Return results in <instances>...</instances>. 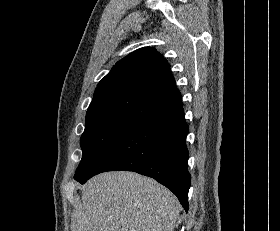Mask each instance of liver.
<instances>
[{
  "label": "liver",
  "mask_w": 280,
  "mask_h": 231,
  "mask_svg": "<svg viewBox=\"0 0 280 231\" xmlns=\"http://www.w3.org/2000/svg\"><path fill=\"white\" fill-rule=\"evenodd\" d=\"M75 231H173L179 201L158 181L134 171L99 173L82 185Z\"/></svg>",
  "instance_id": "liver-1"
}]
</instances>
